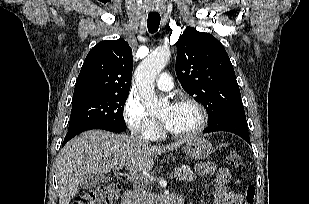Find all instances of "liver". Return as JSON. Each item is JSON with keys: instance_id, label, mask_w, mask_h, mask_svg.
<instances>
[{"instance_id": "1", "label": "liver", "mask_w": 309, "mask_h": 204, "mask_svg": "<svg viewBox=\"0 0 309 204\" xmlns=\"http://www.w3.org/2000/svg\"><path fill=\"white\" fill-rule=\"evenodd\" d=\"M183 143L151 146L146 141L103 130L82 133L69 141L57 158L59 204H69L86 177L124 166L133 173L148 172L153 168L156 155L174 150Z\"/></svg>"}]
</instances>
